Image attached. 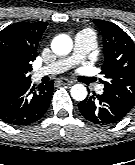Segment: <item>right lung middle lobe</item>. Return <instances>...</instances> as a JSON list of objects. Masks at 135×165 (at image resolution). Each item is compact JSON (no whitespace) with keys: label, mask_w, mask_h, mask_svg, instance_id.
Wrapping results in <instances>:
<instances>
[{"label":"right lung middle lobe","mask_w":135,"mask_h":165,"mask_svg":"<svg viewBox=\"0 0 135 165\" xmlns=\"http://www.w3.org/2000/svg\"><path fill=\"white\" fill-rule=\"evenodd\" d=\"M9 81L13 82V81H19V80H17V79H10Z\"/></svg>","instance_id":"right-lung-middle-lobe-1"}]
</instances>
